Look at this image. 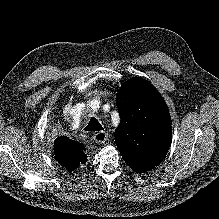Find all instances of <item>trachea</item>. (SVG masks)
<instances>
[{
    "label": "trachea",
    "mask_w": 219,
    "mask_h": 219,
    "mask_svg": "<svg viewBox=\"0 0 219 219\" xmlns=\"http://www.w3.org/2000/svg\"><path fill=\"white\" fill-rule=\"evenodd\" d=\"M84 130L89 132H95L103 130V127L95 117H91L88 125L84 128Z\"/></svg>",
    "instance_id": "1"
}]
</instances>
